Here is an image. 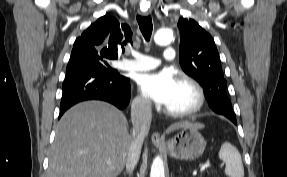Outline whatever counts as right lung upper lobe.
Returning <instances> with one entry per match:
<instances>
[{"label":"right lung upper lobe","instance_id":"obj_1","mask_svg":"<svg viewBox=\"0 0 287 177\" xmlns=\"http://www.w3.org/2000/svg\"><path fill=\"white\" fill-rule=\"evenodd\" d=\"M131 37L127 24H120L116 18L104 15L75 40L69 61L88 56L115 60L118 50L131 41Z\"/></svg>","mask_w":287,"mask_h":177}]
</instances>
